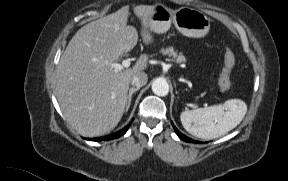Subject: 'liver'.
<instances>
[{"label": "liver", "instance_id": "6515ba94", "mask_svg": "<svg viewBox=\"0 0 288 181\" xmlns=\"http://www.w3.org/2000/svg\"><path fill=\"white\" fill-rule=\"evenodd\" d=\"M153 6L134 8L141 20L144 44L153 42L150 16ZM129 7L80 28L68 43L56 70L55 94L67 122L86 137L104 135L121 120L134 75L147 68L142 54L132 68L110 66L137 44L138 32L127 25Z\"/></svg>", "mask_w": 288, "mask_h": 181}]
</instances>
